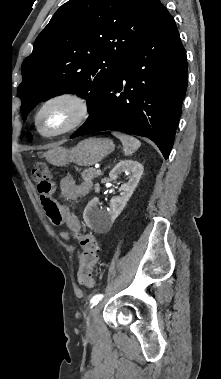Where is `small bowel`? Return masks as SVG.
<instances>
[{
  "label": "small bowel",
  "instance_id": "small-bowel-1",
  "mask_svg": "<svg viewBox=\"0 0 221 379\" xmlns=\"http://www.w3.org/2000/svg\"><path fill=\"white\" fill-rule=\"evenodd\" d=\"M90 189L91 182L89 180L77 183L74 178L70 176H65L60 180L61 194L66 200L82 198L89 193ZM53 192L54 188L52 187L47 195L40 194L41 203L48 219H50L54 225L65 224L71 232L75 234L79 233L82 229L80 220L67 206L59 204L56 198H52ZM61 237L64 240H70L67 232H61Z\"/></svg>",
  "mask_w": 221,
  "mask_h": 379
}]
</instances>
